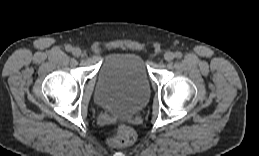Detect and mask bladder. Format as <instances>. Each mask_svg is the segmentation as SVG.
Returning a JSON list of instances; mask_svg holds the SVG:
<instances>
[{"label": "bladder", "instance_id": "bladder-1", "mask_svg": "<svg viewBox=\"0 0 259 156\" xmlns=\"http://www.w3.org/2000/svg\"><path fill=\"white\" fill-rule=\"evenodd\" d=\"M150 90V76L140 55L112 53L100 67L94 96L102 107L132 113L146 104Z\"/></svg>", "mask_w": 259, "mask_h": 156}]
</instances>
